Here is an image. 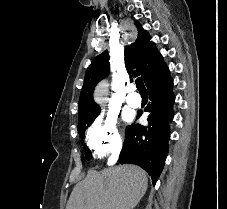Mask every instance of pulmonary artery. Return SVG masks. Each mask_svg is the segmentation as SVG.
<instances>
[{
	"mask_svg": "<svg viewBox=\"0 0 227 209\" xmlns=\"http://www.w3.org/2000/svg\"><path fill=\"white\" fill-rule=\"evenodd\" d=\"M128 86L126 88L127 92H135V93H130L127 97H126V103L130 106L133 107H139L142 103V98L140 96L139 93H136L137 91V83L136 82H129Z\"/></svg>",
	"mask_w": 227,
	"mask_h": 209,
	"instance_id": "1",
	"label": "pulmonary artery"
}]
</instances>
